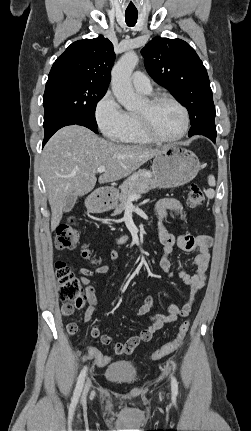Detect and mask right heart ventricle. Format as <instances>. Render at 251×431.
<instances>
[{"instance_id": "e07e8e85", "label": "right heart ventricle", "mask_w": 251, "mask_h": 431, "mask_svg": "<svg viewBox=\"0 0 251 431\" xmlns=\"http://www.w3.org/2000/svg\"><path fill=\"white\" fill-rule=\"evenodd\" d=\"M119 141L127 144L144 145L152 141L142 132L137 114L128 113V126L125 132L118 138Z\"/></svg>"}]
</instances>
